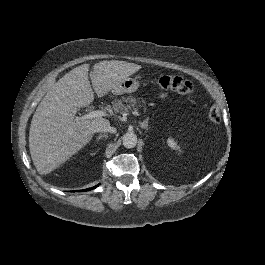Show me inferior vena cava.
I'll return each instance as SVG.
<instances>
[{
  "instance_id": "1",
  "label": "inferior vena cava",
  "mask_w": 265,
  "mask_h": 265,
  "mask_svg": "<svg viewBox=\"0 0 265 265\" xmlns=\"http://www.w3.org/2000/svg\"><path fill=\"white\" fill-rule=\"evenodd\" d=\"M94 131L96 132H109V133H116L117 128L110 126L108 123H103L95 127Z\"/></svg>"
}]
</instances>
